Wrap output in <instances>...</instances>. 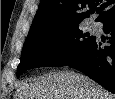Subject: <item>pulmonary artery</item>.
<instances>
[{
  "label": "pulmonary artery",
  "instance_id": "e3ab8cb5",
  "mask_svg": "<svg viewBox=\"0 0 115 99\" xmlns=\"http://www.w3.org/2000/svg\"><path fill=\"white\" fill-rule=\"evenodd\" d=\"M93 26H97V23H96V22H93Z\"/></svg>",
  "mask_w": 115,
  "mask_h": 99
}]
</instances>
